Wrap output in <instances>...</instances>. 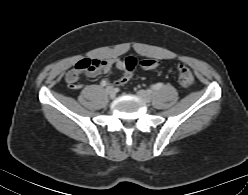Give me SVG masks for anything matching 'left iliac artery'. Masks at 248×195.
Segmentation results:
<instances>
[{"label": "left iliac artery", "instance_id": "1", "mask_svg": "<svg viewBox=\"0 0 248 195\" xmlns=\"http://www.w3.org/2000/svg\"><path fill=\"white\" fill-rule=\"evenodd\" d=\"M163 87V84L162 83H157L155 85L152 86V89L153 90H159Z\"/></svg>", "mask_w": 248, "mask_h": 195}]
</instances>
